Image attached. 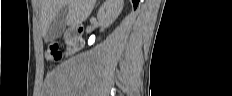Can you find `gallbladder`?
<instances>
[{
  "label": "gallbladder",
  "instance_id": "gallbladder-1",
  "mask_svg": "<svg viewBox=\"0 0 232 96\" xmlns=\"http://www.w3.org/2000/svg\"><path fill=\"white\" fill-rule=\"evenodd\" d=\"M68 14V7L64 6L62 7L59 12L54 17L52 23L49 26V29L47 30V33L45 35V41H53L57 38H59L66 27V17Z\"/></svg>",
  "mask_w": 232,
  "mask_h": 96
}]
</instances>
